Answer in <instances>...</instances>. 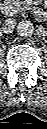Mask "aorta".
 <instances>
[{
  "label": "aorta",
  "instance_id": "762f6f07",
  "mask_svg": "<svg viewBox=\"0 0 47 129\" xmlns=\"http://www.w3.org/2000/svg\"><path fill=\"white\" fill-rule=\"evenodd\" d=\"M34 25L30 21H21L17 25V32L20 36L29 37L34 33Z\"/></svg>",
  "mask_w": 47,
  "mask_h": 129
}]
</instances>
